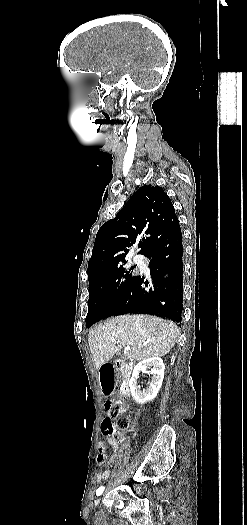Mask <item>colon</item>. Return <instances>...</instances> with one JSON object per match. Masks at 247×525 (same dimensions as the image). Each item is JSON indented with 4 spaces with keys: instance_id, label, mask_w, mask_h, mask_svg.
<instances>
[{
    "instance_id": "colon-1",
    "label": "colon",
    "mask_w": 247,
    "mask_h": 525,
    "mask_svg": "<svg viewBox=\"0 0 247 525\" xmlns=\"http://www.w3.org/2000/svg\"><path fill=\"white\" fill-rule=\"evenodd\" d=\"M105 416L103 419V436H123L128 428V419L124 416V401L122 399H112L105 405Z\"/></svg>"
}]
</instances>
